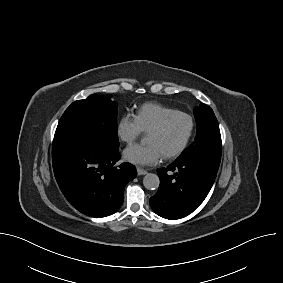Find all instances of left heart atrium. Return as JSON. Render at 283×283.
Listing matches in <instances>:
<instances>
[{"label": "left heart atrium", "mask_w": 283, "mask_h": 283, "mask_svg": "<svg viewBox=\"0 0 283 283\" xmlns=\"http://www.w3.org/2000/svg\"><path fill=\"white\" fill-rule=\"evenodd\" d=\"M162 155L160 149L151 143L136 144L124 151L127 161L142 166L156 164Z\"/></svg>", "instance_id": "obj_1"}]
</instances>
